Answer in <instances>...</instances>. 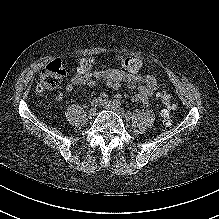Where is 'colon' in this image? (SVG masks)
<instances>
[{
    "label": "colon",
    "mask_w": 219,
    "mask_h": 219,
    "mask_svg": "<svg viewBox=\"0 0 219 219\" xmlns=\"http://www.w3.org/2000/svg\"><path fill=\"white\" fill-rule=\"evenodd\" d=\"M85 67H91L93 65V60L91 58H86L83 60ZM65 75V67L61 60L55 59L49 62L44 69L41 71L37 90L39 92H45L55 89L61 82ZM158 97L163 102L165 112L163 114V124L169 125L172 120V113L176 107L173 96L165 91L159 93Z\"/></svg>",
    "instance_id": "obj_1"
}]
</instances>
